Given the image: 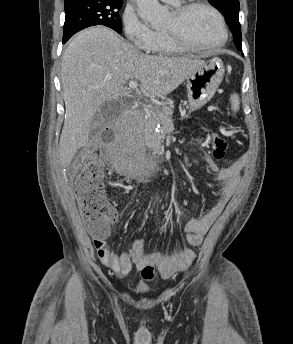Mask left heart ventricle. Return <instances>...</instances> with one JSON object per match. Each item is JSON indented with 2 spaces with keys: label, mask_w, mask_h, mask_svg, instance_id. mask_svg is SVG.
I'll return each mask as SVG.
<instances>
[{
  "label": "left heart ventricle",
  "mask_w": 293,
  "mask_h": 344,
  "mask_svg": "<svg viewBox=\"0 0 293 344\" xmlns=\"http://www.w3.org/2000/svg\"><path fill=\"white\" fill-rule=\"evenodd\" d=\"M178 31L190 43L211 45L221 38V30L215 16L205 8L189 10L180 20L171 12L163 31Z\"/></svg>",
  "instance_id": "obj_1"
}]
</instances>
